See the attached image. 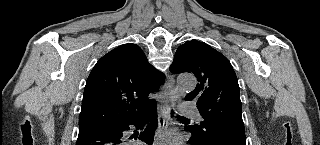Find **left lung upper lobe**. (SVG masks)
<instances>
[{
    "mask_svg": "<svg viewBox=\"0 0 320 145\" xmlns=\"http://www.w3.org/2000/svg\"><path fill=\"white\" fill-rule=\"evenodd\" d=\"M170 71L189 72L198 80L195 90L186 98L197 100L204 122L191 126L192 134L202 139L220 130L245 134L238 80L222 53L204 42L187 41L178 47Z\"/></svg>",
    "mask_w": 320,
    "mask_h": 145,
    "instance_id": "1",
    "label": "left lung upper lobe"
}]
</instances>
